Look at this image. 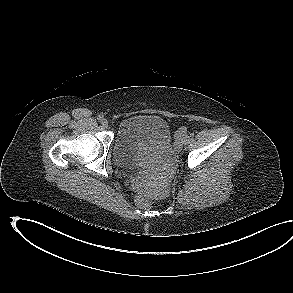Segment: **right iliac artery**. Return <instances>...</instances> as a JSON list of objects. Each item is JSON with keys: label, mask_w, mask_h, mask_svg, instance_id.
Here are the masks:
<instances>
[{"label": "right iliac artery", "mask_w": 293, "mask_h": 293, "mask_svg": "<svg viewBox=\"0 0 293 293\" xmlns=\"http://www.w3.org/2000/svg\"><path fill=\"white\" fill-rule=\"evenodd\" d=\"M97 119H98L100 122H102V120H103V115H99Z\"/></svg>", "instance_id": "right-iliac-artery-1"}]
</instances>
